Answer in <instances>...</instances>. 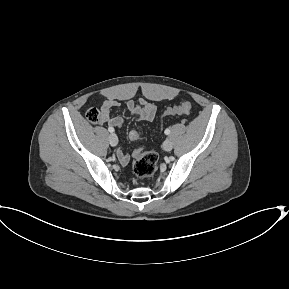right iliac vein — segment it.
Wrapping results in <instances>:
<instances>
[{
    "label": "right iliac vein",
    "mask_w": 289,
    "mask_h": 289,
    "mask_svg": "<svg viewBox=\"0 0 289 289\" xmlns=\"http://www.w3.org/2000/svg\"><path fill=\"white\" fill-rule=\"evenodd\" d=\"M109 143H110L111 146H116L117 145L118 138H117L116 134H114V133L110 134Z\"/></svg>",
    "instance_id": "right-iliac-vein-1"
}]
</instances>
